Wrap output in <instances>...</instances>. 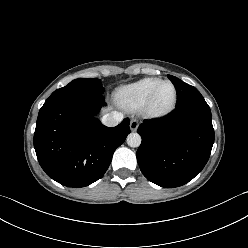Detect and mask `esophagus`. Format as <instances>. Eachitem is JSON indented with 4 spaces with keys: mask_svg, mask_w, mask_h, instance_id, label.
Segmentation results:
<instances>
[{
    "mask_svg": "<svg viewBox=\"0 0 248 248\" xmlns=\"http://www.w3.org/2000/svg\"><path fill=\"white\" fill-rule=\"evenodd\" d=\"M138 126H139V123L136 119H132L130 121V129L132 132H135L137 130Z\"/></svg>",
    "mask_w": 248,
    "mask_h": 248,
    "instance_id": "esophagus-1",
    "label": "esophagus"
}]
</instances>
